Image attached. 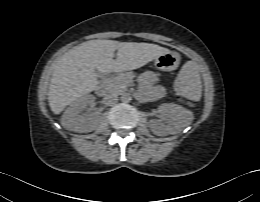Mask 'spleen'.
Listing matches in <instances>:
<instances>
[{
  "instance_id": "3e777b00",
  "label": "spleen",
  "mask_w": 260,
  "mask_h": 202,
  "mask_svg": "<svg viewBox=\"0 0 260 202\" xmlns=\"http://www.w3.org/2000/svg\"><path fill=\"white\" fill-rule=\"evenodd\" d=\"M178 88L177 92L194 101H198L201 97V80L192 62H187L183 65L178 75Z\"/></svg>"
}]
</instances>
